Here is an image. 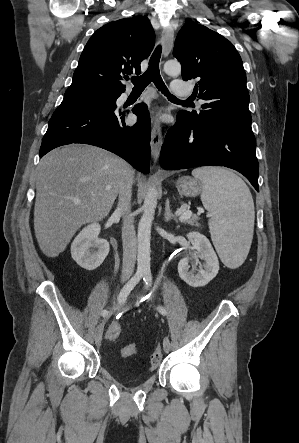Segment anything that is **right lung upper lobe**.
<instances>
[{
	"mask_svg": "<svg viewBox=\"0 0 299 443\" xmlns=\"http://www.w3.org/2000/svg\"><path fill=\"white\" fill-rule=\"evenodd\" d=\"M154 44V30L145 16L107 23L87 42L70 87L121 94L125 91L122 74H139L140 63L148 58Z\"/></svg>",
	"mask_w": 299,
	"mask_h": 443,
	"instance_id": "right-lung-upper-lobe-1",
	"label": "right lung upper lobe"
}]
</instances>
